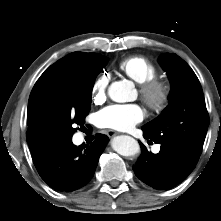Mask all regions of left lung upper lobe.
<instances>
[{
    "instance_id": "5c2ea615",
    "label": "left lung upper lobe",
    "mask_w": 221,
    "mask_h": 221,
    "mask_svg": "<svg viewBox=\"0 0 221 221\" xmlns=\"http://www.w3.org/2000/svg\"><path fill=\"white\" fill-rule=\"evenodd\" d=\"M159 60L171 82L169 105L143 129L155 143L176 145L199 157L209 125L200 82L175 53Z\"/></svg>"
}]
</instances>
